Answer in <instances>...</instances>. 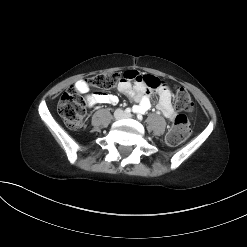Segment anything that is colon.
I'll use <instances>...</instances> for the list:
<instances>
[{"instance_id":"obj_1","label":"colon","mask_w":247,"mask_h":247,"mask_svg":"<svg viewBox=\"0 0 247 247\" xmlns=\"http://www.w3.org/2000/svg\"><path fill=\"white\" fill-rule=\"evenodd\" d=\"M120 80L121 75L118 73H104L90 77L88 83L95 88L110 89L117 85ZM149 82L153 87L157 84L155 80ZM175 104L180 111L193 109L192 98L188 91L183 88L177 89ZM57 109L69 129L78 130L83 126L86 104L74 90L70 89L61 96ZM190 132V123L186 115L179 114L166 135V141L169 145L176 146L186 140Z\"/></svg>"}]
</instances>
